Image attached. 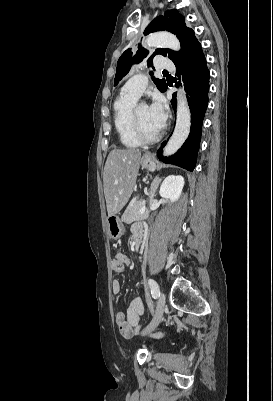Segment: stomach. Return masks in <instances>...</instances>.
Here are the masks:
<instances>
[{
  "label": "stomach",
  "mask_w": 273,
  "mask_h": 401,
  "mask_svg": "<svg viewBox=\"0 0 273 401\" xmlns=\"http://www.w3.org/2000/svg\"><path fill=\"white\" fill-rule=\"evenodd\" d=\"M145 154H151V152H145ZM153 156V154H151ZM151 156H147V158H141L142 168H147V170H155L156 168V160L155 158H151ZM109 237L111 239H120L122 235L125 233L124 225L121 223L119 217L117 215H113V217H108L107 219Z\"/></svg>",
  "instance_id": "1"
}]
</instances>
